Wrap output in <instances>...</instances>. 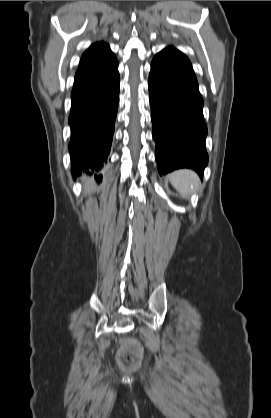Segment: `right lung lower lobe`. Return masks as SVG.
<instances>
[{
    "label": "right lung lower lobe",
    "instance_id": "98d812e1",
    "mask_svg": "<svg viewBox=\"0 0 271 418\" xmlns=\"http://www.w3.org/2000/svg\"><path fill=\"white\" fill-rule=\"evenodd\" d=\"M118 62L113 60L74 83L71 93V172L97 170L106 161L114 133L119 102ZM101 179V175H95Z\"/></svg>",
    "mask_w": 271,
    "mask_h": 418
}]
</instances>
